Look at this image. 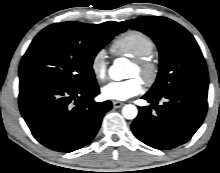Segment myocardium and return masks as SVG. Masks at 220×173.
Here are the masks:
<instances>
[{
	"label": "myocardium",
	"instance_id": "myocardium-1",
	"mask_svg": "<svg viewBox=\"0 0 220 173\" xmlns=\"http://www.w3.org/2000/svg\"><path fill=\"white\" fill-rule=\"evenodd\" d=\"M133 65L138 70V76L147 84L151 85L155 82L158 74V65L156 61L148 56L132 60Z\"/></svg>",
	"mask_w": 220,
	"mask_h": 173
}]
</instances>
